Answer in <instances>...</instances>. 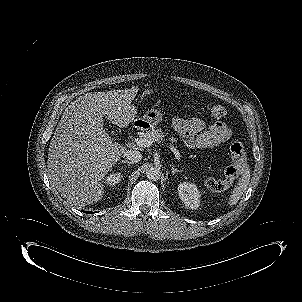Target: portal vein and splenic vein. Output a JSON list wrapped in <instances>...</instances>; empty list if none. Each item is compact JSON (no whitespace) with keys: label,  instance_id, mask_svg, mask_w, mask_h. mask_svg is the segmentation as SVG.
<instances>
[{"label":"portal vein and splenic vein","instance_id":"18ae733b","mask_svg":"<svg viewBox=\"0 0 302 302\" xmlns=\"http://www.w3.org/2000/svg\"><path fill=\"white\" fill-rule=\"evenodd\" d=\"M135 142L139 147H149L153 144L154 141L150 138L140 137V138L135 139ZM177 154H179V153H177Z\"/></svg>","mask_w":302,"mask_h":302}]
</instances>
